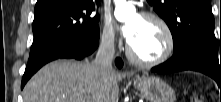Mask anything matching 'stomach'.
I'll use <instances>...</instances> for the list:
<instances>
[{"label":"stomach","instance_id":"0dacf381","mask_svg":"<svg viewBox=\"0 0 221 102\" xmlns=\"http://www.w3.org/2000/svg\"><path fill=\"white\" fill-rule=\"evenodd\" d=\"M135 87L142 97L149 102H175L174 90L158 77H138L134 80Z\"/></svg>","mask_w":221,"mask_h":102}]
</instances>
